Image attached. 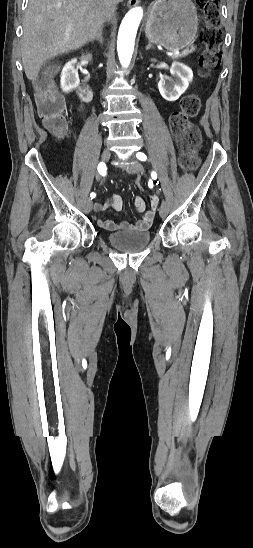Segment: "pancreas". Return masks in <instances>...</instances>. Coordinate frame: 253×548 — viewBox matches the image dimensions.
<instances>
[{
    "instance_id": "cf45deb5",
    "label": "pancreas",
    "mask_w": 253,
    "mask_h": 548,
    "mask_svg": "<svg viewBox=\"0 0 253 548\" xmlns=\"http://www.w3.org/2000/svg\"><path fill=\"white\" fill-rule=\"evenodd\" d=\"M190 53H191V51H189V50H184L181 54H179V55L177 56V58L185 57V56H187V55L190 54Z\"/></svg>"
}]
</instances>
